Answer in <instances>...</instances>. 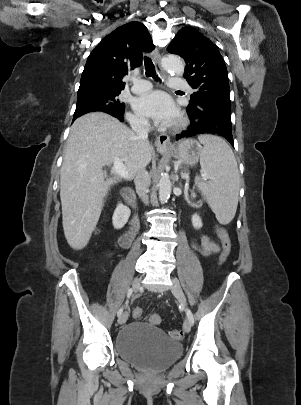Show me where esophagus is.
Instances as JSON below:
<instances>
[{"instance_id":"1","label":"esophagus","mask_w":301,"mask_h":405,"mask_svg":"<svg viewBox=\"0 0 301 405\" xmlns=\"http://www.w3.org/2000/svg\"><path fill=\"white\" fill-rule=\"evenodd\" d=\"M152 59L158 71L163 72V68L161 66V56L157 49H155L152 54ZM156 146L160 149L168 148L171 145L170 137L166 134L159 135L156 138L155 142Z\"/></svg>"}]
</instances>
